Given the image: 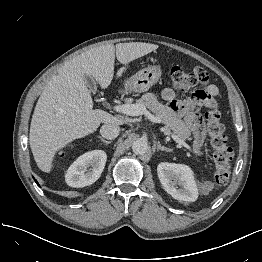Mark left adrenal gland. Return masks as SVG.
Instances as JSON below:
<instances>
[{
  "label": "left adrenal gland",
  "instance_id": "a2214340",
  "mask_svg": "<svg viewBox=\"0 0 262 262\" xmlns=\"http://www.w3.org/2000/svg\"><path fill=\"white\" fill-rule=\"evenodd\" d=\"M157 151H166V152H171L172 150L167 148V147H164L160 144V142L158 141L157 142Z\"/></svg>",
  "mask_w": 262,
  "mask_h": 262
}]
</instances>
